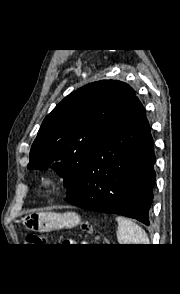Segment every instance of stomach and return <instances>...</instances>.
I'll use <instances>...</instances> for the list:
<instances>
[{
    "label": "stomach",
    "instance_id": "stomach-1",
    "mask_svg": "<svg viewBox=\"0 0 180 294\" xmlns=\"http://www.w3.org/2000/svg\"><path fill=\"white\" fill-rule=\"evenodd\" d=\"M25 228L31 231L48 232L56 229L72 228L80 223L75 212L63 214L54 212L29 213L21 218Z\"/></svg>",
    "mask_w": 180,
    "mask_h": 294
}]
</instances>
